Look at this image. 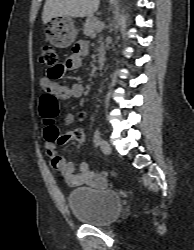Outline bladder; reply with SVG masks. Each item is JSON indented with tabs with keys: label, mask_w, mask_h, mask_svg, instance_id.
Returning a JSON list of instances; mask_svg holds the SVG:
<instances>
[{
	"label": "bladder",
	"mask_w": 194,
	"mask_h": 250,
	"mask_svg": "<svg viewBox=\"0 0 194 250\" xmlns=\"http://www.w3.org/2000/svg\"><path fill=\"white\" fill-rule=\"evenodd\" d=\"M67 203L78 222L100 227L110 224L122 209V199L117 192L91 187L70 191Z\"/></svg>",
	"instance_id": "31cf9c89"
}]
</instances>
